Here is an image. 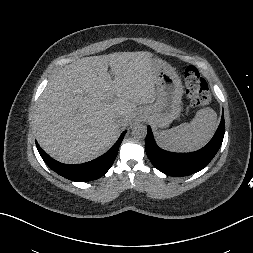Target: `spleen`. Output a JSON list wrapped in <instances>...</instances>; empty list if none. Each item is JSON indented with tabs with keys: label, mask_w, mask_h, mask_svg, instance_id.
<instances>
[{
	"label": "spleen",
	"mask_w": 253,
	"mask_h": 253,
	"mask_svg": "<svg viewBox=\"0 0 253 253\" xmlns=\"http://www.w3.org/2000/svg\"><path fill=\"white\" fill-rule=\"evenodd\" d=\"M217 127V114L205 107L196 112L190 123H182L168 130L157 132L160 145L172 152H191L203 147Z\"/></svg>",
	"instance_id": "3e777b00"
}]
</instances>
